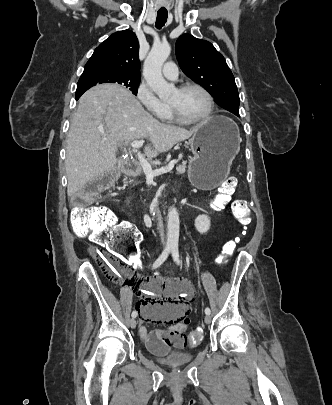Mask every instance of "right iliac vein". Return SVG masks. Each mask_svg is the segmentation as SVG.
I'll list each match as a JSON object with an SVG mask.
<instances>
[{
  "label": "right iliac vein",
  "mask_w": 332,
  "mask_h": 405,
  "mask_svg": "<svg viewBox=\"0 0 332 405\" xmlns=\"http://www.w3.org/2000/svg\"><path fill=\"white\" fill-rule=\"evenodd\" d=\"M129 324H130V327H131L132 329H134V328L136 327V325H137V321L135 320V318H132V319L130 320Z\"/></svg>",
  "instance_id": "obj_1"
}]
</instances>
